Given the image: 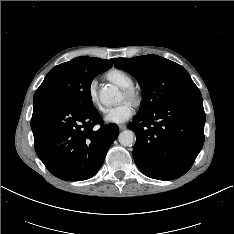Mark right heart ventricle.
<instances>
[{
  "instance_id": "e07e8e85",
  "label": "right heart ventricle",
  "mask_w": 234,
  "mask_h": 234,
  "mask_svg": "<svg viewBox=\"0 0 234 234\" xmlns=\"http://www.w3.org/2000/svg\"><path fill=\"white\" fill-rule=\"evenodd\" d=\"M106 78L121 89L132 86V76L122 69H111L106 73Z\"/></svg>"
}]
</instances>
